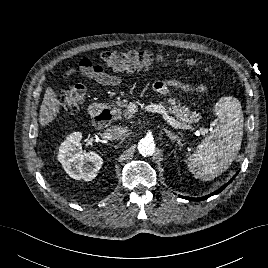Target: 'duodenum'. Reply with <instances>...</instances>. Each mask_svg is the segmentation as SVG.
Masks as SVG:
<instances>
[{"instance_id":"410a0bca","label":"duodenum","mask_w":268,"mask_h":268,"mask_svg":"<svg viewBox=\"0 0 268 268\" xmlns=\"http://www.w3.org/2000/svg\"><path fill=\"white\" fill-rule=\"evenodd\" d=\"M91 114L94 117V121L99 127H108L113 120V115L109 109H107L103 103L95 102L91 105Z\"/></svg>"}]
</instances>
